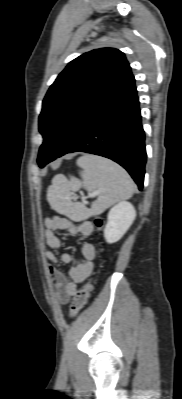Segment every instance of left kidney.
<instances>
[{
  "label": "left kidney",
  "mask_w": 182,
  "mask_h": 399,
  "mask_svg": "<svg viewBox=\"0 0 182 399\" xmlns=\"http://www.w3.org/2000/svg\"><path fill=\"white\" fill-rule=\"evenodd\" d=\"M136 217L134 206L127 201H121L113 206L107 216L104 238L112 244L119 241L132 225Z\"/></svg>",
  "instance_id": "5707ae66"
}]
</instances>
